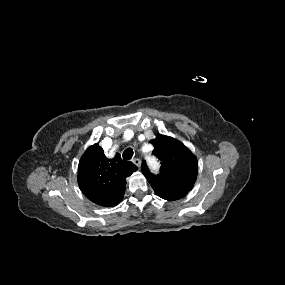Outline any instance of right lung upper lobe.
<instances>
[{
    "mask_svg": "<svg viewBox=\"0 0 285 285\" xmlns=\"http://www.w3.org/2000/svg\"><path fill=\"white\" fill-rule=\"evenodd\" d=\"M134 171H137V167L132 162L123 161L119 153L109 159L104 150L94 144L79 161L78 185L93 203L113 207L123 199L126 177Z\"/></svg>",
    "mask_w": 285,
    "mask_h": 285,
    "instance_id": "cb5924a9",
    "label": "right lung upper lobe"
}]
</instances>
